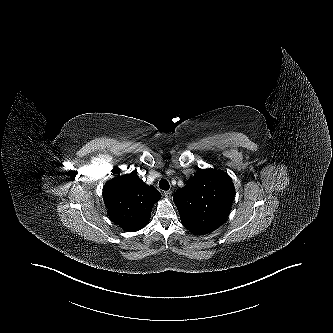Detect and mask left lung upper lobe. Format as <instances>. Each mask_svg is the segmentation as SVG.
Segmentation results:
<instances>
[{"mask_svg":"<svg viewBox=\"0 0 333 333\" xmlns=\"http://www.w3.org/2000/svg\"><path fill=\"white\" fill-rule=\"evenodd\" d=\"M235 187L223 171L198 169L173 200L181 223L197 235L207 234L220 227L228 217Z\"/></svg>","mask_w":333,"mask_h":333,"instance_id":"obj_1","label":"left lung upper lobe"}]
</instances>
